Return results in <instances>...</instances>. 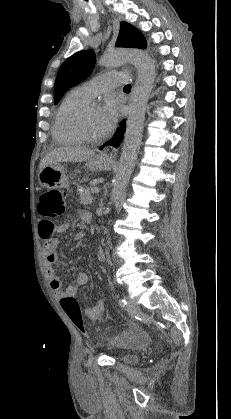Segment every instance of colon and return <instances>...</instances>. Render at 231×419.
<instances>
[{
    "label": "colon",
    "mask_w": 231,
    "mask_h": 419,
    "mask_svg": "<svg viewBox=\"0 0 231 419\" xmlns=\"http://www.w3.org/2000/svg\"><path fill=\"white\" fill-rule=\"evenodd\" d=\"M66 210V195L61 189H52L44 192L38 202V211L42 216L47 218H58L65 213ZM62 309L75 324V326L87 335L81 310L78 302L72 296H65L60 301ZM125 338H115L110 341L113 346L120 347L124 344Z\"/></svg>",
    "instance_id": "1"
}]
</instances>
